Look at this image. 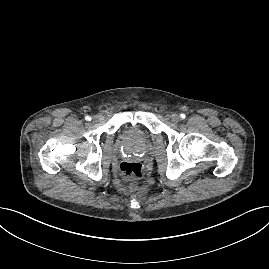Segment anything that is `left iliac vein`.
Here are the masks:
<instances>
[{
	"label": "left iliac vein",
	"mask_w": 269,
	"mask_h": 269,
	"mask_svg": "<svg viewBox=\"0 0 269 269\" xmlns=\"http://www.w3.org/2000/svg\"><path fill=\"white\" fill-rule=\"evenodd\" d=\"M171 121L175 124H177L180 121V117L177 114H173L171 116Z\"/></svg>",
	"instance_id": "obj_1"
}]
</instances>
